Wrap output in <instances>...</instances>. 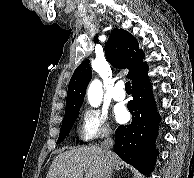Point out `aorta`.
<instances>
[{
    "mask_svg": "<svg viewBox=\"0 0 194 178\" xmlns=\"http://www.w3.org/2000/svg\"><path fill=\"white\" fill-rule=\"evenodd\" d=\"M87 96L91 106L98 107L100 105L103 96L102 83L100 80L95 79L90 83Z\"/></svg>",
    "mask_w": 194,
    "mask_h": 178,
    "instance_id": "aorta-1",
    "label": "aorta"
}]
</instances>
